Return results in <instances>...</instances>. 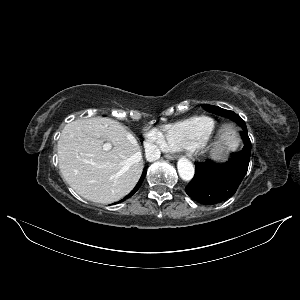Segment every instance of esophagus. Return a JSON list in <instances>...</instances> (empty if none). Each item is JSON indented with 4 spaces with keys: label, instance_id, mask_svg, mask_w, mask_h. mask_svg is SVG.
Wrapping results in <instances>:
<instances>
[{
    "label": "esophagus",
    "instance_id": "34e87169",
    "mask_svg": "<svg viewBox=\"0 0 300 300\" xmlns=\"http://www.w3.org/2000/svg\"><path fill=\"white\" fill-rule=\"evenodd\" d=\"M168 159H170V160H174V159H176L177 157L176 156H174V155H167L166 156Z\"/></svg>",
    "mask_w": 300,
    "mask_h": 300
}]
</instances>
